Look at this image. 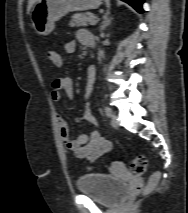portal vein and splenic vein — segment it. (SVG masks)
Segmentation results:
<instances>
[{
  "label": "portal vein and splenic vein",
  "instance_id": "portal-vein-and-splenic-vein-1",
  "mask_svg": "<svg viewBox=\"0 0 188 213\" xmlns=\"http://www.w3.org/2000/svg\"><path fill=\"white\" fill-rule=\"evenodd\" d=\"M97 23L96 19L92 18L89 20L90 25H95Z\"/></svg>",
  "mask_w": 188,
  "mask_h": 213
}]
</instances>
